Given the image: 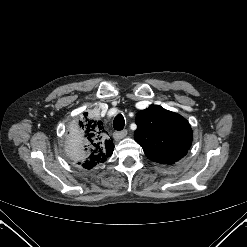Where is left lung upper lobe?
<instances>
[{
	"label": "left lung upper lobe",
	"mask_w": 247,
	"mask_h": 247,
	"mask_svg": "<svg viewBox=\"0 0 247 247\" xmlns=\"http://www.w3.org/2000/svg\"><path fill=\"white\" fill-rule=\"evenodd\" d=\"M135 140L152 161L173 164L187 154L192 130L182 116L161 106L151 105L138 112Z\"/></svg>",
	"instance_id": "obj_1"
}]
</instances>
